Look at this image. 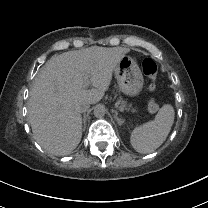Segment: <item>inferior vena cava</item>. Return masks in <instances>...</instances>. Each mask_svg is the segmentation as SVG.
I'll return each mask as SVG.
<instances>
[{"instance_id":"inferior-vena-cava-1","label":"inferior vena cava","mask_w":208,"mask_h":208,"mask_svg":"<svg viewBox=\"0 0 208 208\" xmlns=\"http://www.w3.org/2000/svg\"><path fill=\"white\" fill-rule=\"evenodd\" d=\"M90 106V103L88 100H80L78 105H77V109L79 110V112H85Z\"/></svg>"}]
</instances>
